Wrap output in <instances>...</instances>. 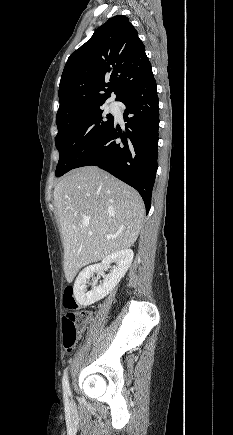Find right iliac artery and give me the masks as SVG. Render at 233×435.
<instances>
[{
  "instance_id": "82829eb1",
  "label": "right iliac artery",
  "mask_w": 233,
  "mask_h": 435,
  "mask_svg": "<svg viewBox=\"0 0 233 435\" xmlns=\"http://www.w3.org/2000/svg\"><path fill=\"white\" fill-rule=\"evenodd\" d=\"M62 384H63L64 396L67 397V396H69L71 394V392H70V388H69L68 376H67V372L66 371L64 372Z\"/></svg>"
}]
</instances>
